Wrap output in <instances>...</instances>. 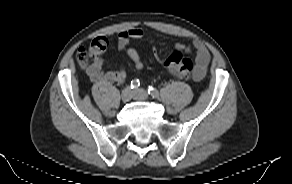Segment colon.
Instances as JSON below:
<instances>
[{"label": "colon", "instance_id": "obj_1", "mask_svg": "<svg viewBox=\"0 0 292 184\" xmlns=\"http://www.w3.org/2000/svg\"><path fill=\"white\" fill-rule=\"evenodd\" d=\"M109 40L106 37H97L91 41L88 48L80 47L77 51L76 58L81 67H88L92 59L100 57L107 49ZM152 56L168 68L176 70L177 75L182 78H190L194 71L192 60L184 56L179 50H174L168 57L161 59L158 55L157 48L152 47Z\"/></svg>", "mask_w": 292, "mask_h": 184}]
</instances>
